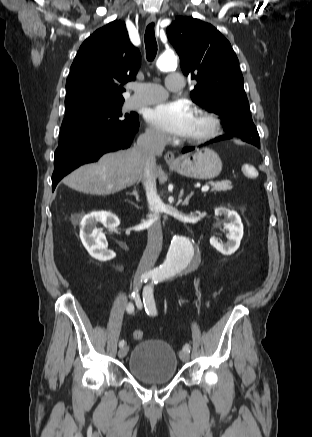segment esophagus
<instances>
[{
	"label": "esophagus",
	"instance_id": "1",
	"mask_svg": "<svg viewBox=\"0 0 312 437\" xmlns=\"http://www.w3.org/2000/svg\"><path fill=\"white\" fill-rule=\"evenodd\" d=\"M156 21V15L155 14H151L148 18L146 23L150 24ZM164 159L166 161L167 164H176L177 163V159L174 155V153L172 151H167L164 155Z\"/></svg>",
	"mask_w": 312,
	"mask_h": 437
}]
</instances>
